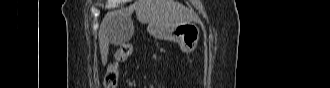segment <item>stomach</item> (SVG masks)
Listing matches in <instances>:
<instances>
[{
    "mask_svg": "<svg viewBox=\"0 0 330 88\" xmlns=\"http://www.w3.org/2000/svg\"><path fill=\"white\" fill-rule=\"evenodd\" d=\"M163 27V34L167 39L176 41L183 52L193 51L200 39V28L195 23H180L176 25H161ZM158 35L159 33L156 32Z\"/></svg>",
    "mask_w": 330,
    "mask_h": 88,
    "instance_id": "0dacf381",
    "label": "stomach"
}]
</instances>
